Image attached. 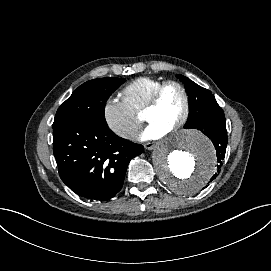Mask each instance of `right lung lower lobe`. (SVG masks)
Wrapping results in <instances>:
<instances>
[{
  "mask_svg": "<svg viewBox=\"0 0 271 271\" xmlns=\"http://www.w3.org/2000/svg\"><path fill=\"white\" fill-rule=\"evenodd\" d=\"M140 144L118 137L106 124L71 121L53 128V153L62 181L82 198L108 201L122 188Z\"/></svg>",
  "mask_w": 271,
  "mask_h": 271,
  "instance_id": "1",
  "label": "right lung lower lobe"
}]
</instances>
